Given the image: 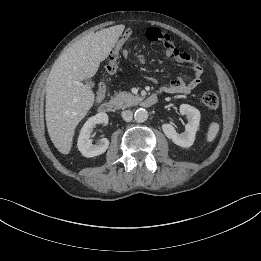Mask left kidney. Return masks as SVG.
Instances as JSON below:
<instances>
[{
	"mask_svg": "<svg viewBox=\"0 0 261 261\" xmlns=\"http://www.w3.org/2000/svg\"><path fill=\"white\" fill-rule=\"evenodd\" d=\"M179 110L180 113L186 115L188 119V124L185 126V132L178 134L171 124H163L162 130L166 137L171 139L174 144L183 148H189L193 145L196 132L199 128L200 111L188 104L180 105Z\"/></svg>",
	"mask_w": 261,
	"mask_h": 261,
	"instance_id": "1",
	"label": "left kidney"
}]
</instances>
